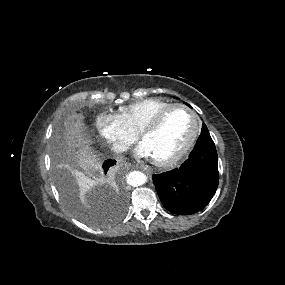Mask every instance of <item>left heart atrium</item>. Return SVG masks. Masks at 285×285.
Masks as SVG:
<instances>
[{
  "label": "left heart atrium",
  "mask_w": 285,
  "mask_h": 285,
  "mask_svg": "<svg viewBox=\"0 0 285 285\" xmlns=\"http://www.w3.org/2000/svg\"><path fill=\"white\" fill-rule=\"evenodd\" d=\"M136 154L141 158L153 159V157L150 154L146 144L143 141L137 146Z\"/></svg>",
  "instance_id": "39dd6f15"
}]
</instances>
